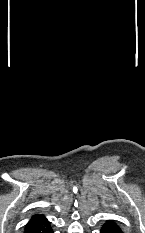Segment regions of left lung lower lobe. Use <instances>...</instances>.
Wrapping results in <instances>:
<instances>
[{
    "instance_id": "0a47b994",
    "label": "left lung lower lobe",
    "mask_w": 145,
    "mask_h": 233,
    "mask_svg": "<svg viewBox=\"0 0 145 233\" xmlns=\"http://www.w3.org/2000/svg\"><path fill=\"white\" fill-rule=\"evenodd\" d=\"M100 233H121V229L112 221L103 224Z\"/></svg>"
}]
</instances>
